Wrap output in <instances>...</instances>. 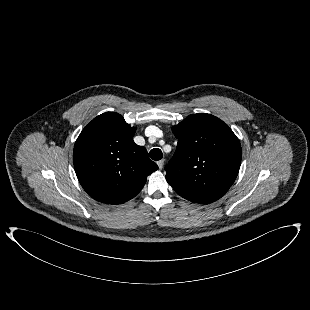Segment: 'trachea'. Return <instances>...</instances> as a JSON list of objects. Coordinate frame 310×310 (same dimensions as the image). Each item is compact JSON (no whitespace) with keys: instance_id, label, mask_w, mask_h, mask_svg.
Returning <instances> with one entry per match:
<instances>
[{"instance_id":"trachea-1","label":"trachea","mask_w":310,"mask_h":310,"mask_svg":"<svg viewBox=\"0 0 310 310\" xmlns=\"http://www.w3.org/2000/svg\"><path fill=\"white\" fill-rule=\"evenodd\" d=\"M149 156L151 159L158 161V160L162 159L163 154L159 148H154L149 152Z\"/></svg>"}]
</instances>
